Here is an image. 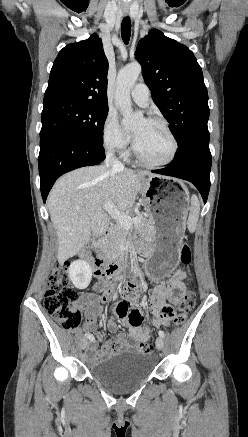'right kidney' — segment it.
Here are the masks:
<instances>
[{"instance_id": "right-kidney-1", "label": "right kidney", "mask_w": 248, "mask_h": 437, "mask_svg": "<svg viewBox=\"0 0 248 437\" xmlns=\"http://www.w3.org/2000/svg\"><path fill=\"white\" fill-rule=\"evenodd\" d=\"M69 278L78 289H85L92 279V269L85 260L73 261L68 269Z\"/></svg>"}]
</instances>
